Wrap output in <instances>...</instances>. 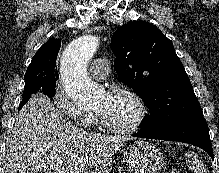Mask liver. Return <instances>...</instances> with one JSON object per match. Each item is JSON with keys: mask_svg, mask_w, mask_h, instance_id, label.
I'll return each mask as SVG.
<instances>
[{"mask_svg": "<svg viewBox=\"0 0 219 173\" xmlns=\"http://www.w3.org/2000/svg\"><path fill=\"white\" fill-rule=\"evenodd\" d=\"M127 138L86 132L53 103L33 96L19 111L4 156L5 173H109Z\"/></svg>", "mask_w": 219, "mask_h": 173, "instance_id": "obj_1", "label": "liver"}]
</instances>
